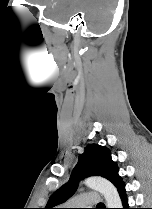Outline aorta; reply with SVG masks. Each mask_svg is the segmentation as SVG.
I'll use <instances>...</instances> for the list:
<instances>
[{
  "instance_id": "obj_1",
  "label": "aorta",
  "mask_w": 152,
  "mask_h": 209,
  "mask_svg": "<svg viewBox=\"0 0 152 209\" xmlns=\"http://www.w3.org/2000/svg\"><path fill=\"white\" fill-rule=\"evenodd\" d=\"M84 183L87 187L103 194L108 208H121L119 194L111 182L101 177H90Z\"/></svg>"
}]
</instances>
